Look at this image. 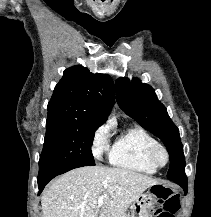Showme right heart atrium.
<instances>
[{"mask_svg":"<svg viewBox=\"0 0 211 217\" xmlns=\"http://www.w3.org/2000/svg\"><path fill=\"white\" fill-rule=\"evenodd\" d=\"M92 152L95 157L100 158L110 149V125L99 126L92 137Z\"/></svg>","mask_w":211,"mask_h":217,"instance_id":"1","label":"right heart atrium"}]
</instances>
